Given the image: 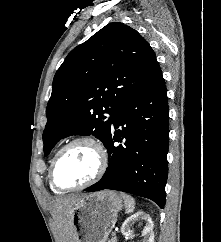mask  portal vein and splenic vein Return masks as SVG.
I'll return each instance as SVG.
<instances>
[{"label":"portal vein and splenic vein","mask_w":221,"mask_h":242,"mask_svg":"<svg viewBox=\"0 0 221 242\" xmlns=\"http://www.w3.org/2000/svg\"><path fill=\"white\" fill-rule=\"evenodd\" d=\"M117 230V228H115V231ZM115 235V233H113V236Z\"/></svg>","instance_id":"portal-vein-and-splenic-vein-1"}]
</instances>
